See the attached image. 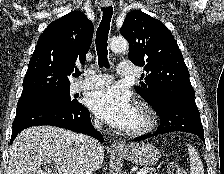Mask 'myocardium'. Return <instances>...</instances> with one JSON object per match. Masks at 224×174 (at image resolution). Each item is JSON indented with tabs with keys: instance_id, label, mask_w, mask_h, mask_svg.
<instances>
[{
	"instance_id": "f54148a6",
	"label": "myocardium",
	"mask_w": 224,
	"mask_h": 174,
	"mask_svg": "<svg viewBox=\"0 0 224 174\" xmlns=\"http://www.w3.org/2000/svg\"><path fill=\"white\" fill-rule=\"evenodd\" d=\"M137 111L140 114L141 122L137 127L125 130V134L128 136H139L148 133L155 125V115L148 105L140 103L137 106Z\"/></svg>"
}]
</instances>
